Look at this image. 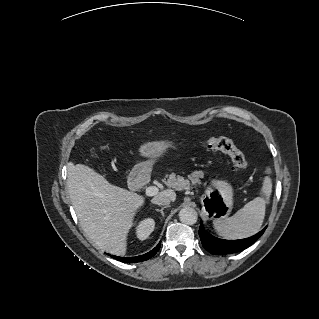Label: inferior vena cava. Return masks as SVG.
<instances>
[{
	"mask_svg": "<svg viewBox=\"0 0 319 319\" xmlns=\"http://www.w3.org/2000/svg\"><path fill=\"white\" fill-rule=\"evenodd\" d=\"M170 199L166 196H161V195H158L156 197H154L151 202L153 204H157V205H166L168 206L170 204Z\"/></svg>",
	"mask_w": 319,
	"mask_h": 319,
	"instance_id": "602c4592",
	"label": "inferior vena cava"
}]
</instances>
